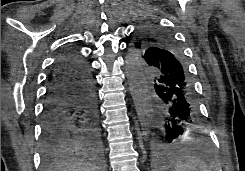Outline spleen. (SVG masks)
Listing matches in <instances>:
<instances>
[{"label": "spleen", "mask_w": 245, "mask_h": 171, "mask_svg": "<svg viewBox=\"0 0 245 171\" xmlns=\"http://www.w3.org/2000/svg\"><path fill=\"white\" fill-rule=\"evenodd\" d=\"M173 171H212L210 166L199 157L187 155L174 164Z\"/></svg>", "instance_id": "spleen-1"}]
</instances>
